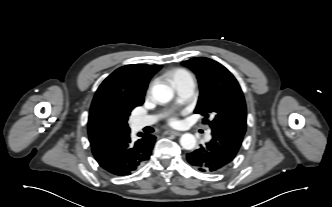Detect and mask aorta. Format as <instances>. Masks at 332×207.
<instances>
[{"label": "aorta", "instance_id": "aorta-1", "mask_svg": "<svg viewBox=\"0 0 332 207\" xmlns=\"http://www.w3.org/2000/svg\"><path fill=\"white\" fill-rule=\"evenodd\" d=\"M153 98L160 103H167L174 96L173 89L165 84H157L152 87ZM181 146L186 150H192L196 146V138L190 133H185L180 138Z\"/></svg>", "mask_w": 332, "mask_h": 207}]
</instances>
